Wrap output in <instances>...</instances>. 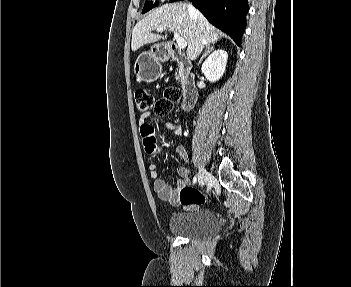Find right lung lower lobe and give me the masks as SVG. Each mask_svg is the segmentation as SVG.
Wrapping results in <instances>:
<instances>
[{
    "instance_id": "right-lung-lower-lobe-1",
    "label": "right lung lower lobe",
    "mask_w": 351,
    "mask_h": 287,
    "mask_svg": "<svg viewBox=\"0 0 351 287\" xmlns=\"http://www.w3.org/2000/svg\"><path fill=\"white\" fill-rule=\"evenodd\" d=\"M180 0H170L175 2ZM215 27L229 34L237 45L245 29L247 0H189Z\"/></svg>"
}]
</instances>
